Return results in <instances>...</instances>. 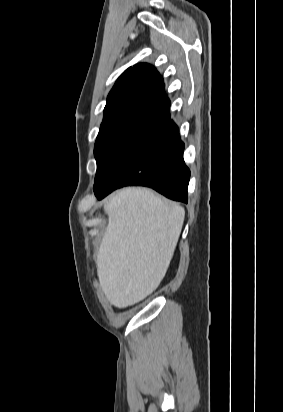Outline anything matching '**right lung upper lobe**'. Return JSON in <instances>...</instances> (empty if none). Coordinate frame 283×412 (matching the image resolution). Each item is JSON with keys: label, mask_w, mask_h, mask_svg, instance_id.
<instances>
[{"label": "right lung upper lobe", "mask_w": 283, "mask_h": 412, "mask_svg": "<svg viewBox=\"0 0 283 412\" xmlns=\"http://www.w3.org/2000/svg\"><path fill=\"white\" fill-rule=\"evenodd\" d=\"M169 107L162 77L154 67L141 63L118 78L108 95L104 120L127 114L161 113L164 117Z\"/></svg>", "instance_id": "right-lung-upper-lobe-1"}]
</instances>
